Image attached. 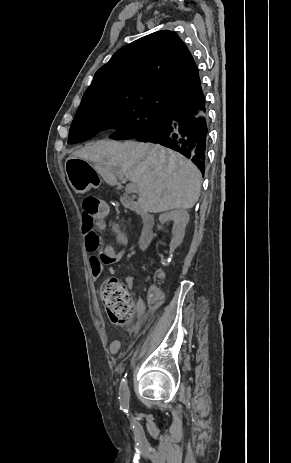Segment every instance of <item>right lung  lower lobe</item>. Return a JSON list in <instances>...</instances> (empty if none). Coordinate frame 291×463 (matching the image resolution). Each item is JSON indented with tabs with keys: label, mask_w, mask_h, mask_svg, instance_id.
<instances>
[{
	"label": "right lung lower lobe",
	"mask_w": 291,
	"mask_h": 463,
	"mask_svg": "<svg viewBox=\"0 0 291 463\" xmlns=\"http://www.w3.org/2000/svg\"><path fill=\"white\" fill-rule=\"evenodd\" d=\"M135 139L173 149L189 158L204 173L208 144L205 99L197 112L165 114L161 125Z\"/></svg>",
	"instance_id": "98d812e1"
}]
</instances>
